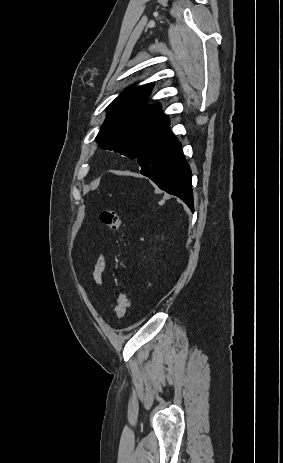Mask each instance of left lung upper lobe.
I'll return each instance as SVG.
<instances>
[{
    "mask_svg": "<svg viewBox=\"0 0 283 463\" xmlns=\"http://www.w3.org/2000/svg\"><path fill=\"white\" fill-rule=\"evenodd\" d=\"M152 85L122 92L108 107V115L96 137L103 149L136 159L168 124L159 104L146 105Z\"/></svg>",
    "mask_w": 283,
    "mask_h": 463,
    "instance_id": "obj_1",
    "label": "left lung upper lobe"
}]
</instances>
